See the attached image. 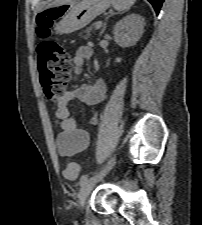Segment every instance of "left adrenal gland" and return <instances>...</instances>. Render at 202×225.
<instances>
[{
    "instance_id": "a2214340",
    "label": "left adrenal gland",
    "mask_w": 202,
    "mask_h": 225,
    "mask_svg": "<svg viewBox=\"0 0 202 225\" xmlns=\"http://www.w3.org/2000/svg\"><path fill=\"white\" fill-rule=\"evenodd\" d=\"M111 15H113V14H111ZM109 17H110V16H108V17L105 19V22H104L102 31L100 32V36L104 33V31H105V29H106V22H107V19H108Z\"/></svg>"
}]
</instances>
